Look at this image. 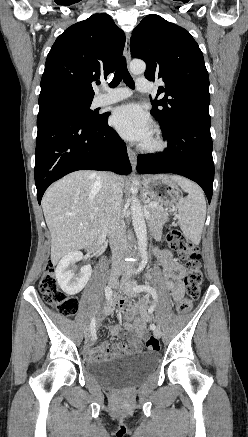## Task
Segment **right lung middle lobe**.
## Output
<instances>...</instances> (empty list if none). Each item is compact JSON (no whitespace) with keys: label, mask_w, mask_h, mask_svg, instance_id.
I'll return each mask as SVG.
<instances>
[{"label":"right lung middle lobe","mask_w":248,"mask_h":437,"mask_svg":"<svg viewBox=\"0 0 248 437\" xmlns=\"http://www.w3.org/2000/svg\"><path fill=\"white\" fill-rule=\"evenodd\" d=\"M93 98L77 96L67 92H50L39 96V110L46 108L65 109L86 121L101 119L106 114L99 115L90 110Z\"/></svg>","instance_id":"dd1d6c3e"}]
</instances>
